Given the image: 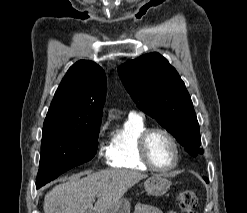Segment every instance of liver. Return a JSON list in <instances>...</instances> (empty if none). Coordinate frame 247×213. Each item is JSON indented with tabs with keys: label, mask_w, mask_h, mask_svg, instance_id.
<instances>
[{
	"label": "liver",
	"mask_w": 247,
	"mask_h": 213,
	"mask_svg": "<svg viewBox=\"0 0 247 213\" xmlns=\"http://www.w3.org/2000/svg\"><path fill=\"white\" fill-rule=\"evenodd\" d=\"M73 176L68 182L56 185L44 198V213H102L116 204L129 188L147 177L130 170H101ZM97 201L93 207V202Z\"/></svg>",
	"instance_id": "1"
}]
</instances>
